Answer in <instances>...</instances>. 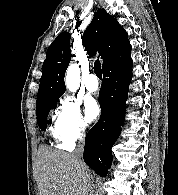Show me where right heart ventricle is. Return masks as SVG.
Returning a JSON list of instances; mask_svg holds the SVG:
<instances>
[{"instance_id":"e07e8e85","label":"right heart ventricle","mask_w":178,"mask_h":195,"mask_svg":"<svg viewBox=\"0 0 178 195\" xmlns=\"http://www.w3.org/2000/svg\"><path fill=\"white\" fill-rule=\"evenodd\" d=\"M51 132H52L53 137L55 138V140H56L57 142H60V140H59V138H58V136H57V125H56V123H55V125L51 128Z\"/></svg>"}]
</instances>
